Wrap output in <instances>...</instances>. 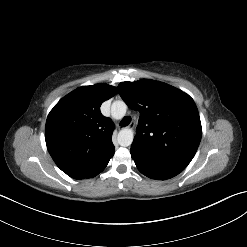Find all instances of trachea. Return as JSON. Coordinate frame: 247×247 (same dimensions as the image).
<instances>
[{
  "label": "trachea",
  "instance_id": "trachea-1",
  "mask_svg": "<svg viewBox=\"0 0 247 247\" xmlns=\"http://www.w3.org/2000/svg\"><path fill=\"white\" fill-rule=\"evenodd\" d=\"M131 122V118L129 116H125L121 122H120V126L124 127L127 126L129 123Z\"/></svg>",
  "mask_w": 247,
  "mask_h": 247
}]
</instances>
